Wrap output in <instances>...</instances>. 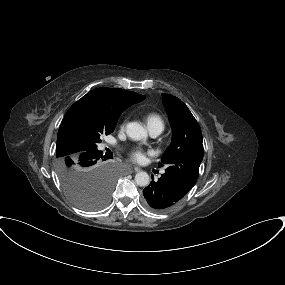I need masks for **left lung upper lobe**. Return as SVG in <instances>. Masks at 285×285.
<instances>
[{"instance_id": "5c2ea615", "label": "left lung upper lobe", "mask_w": 285, "mask_h": 285, "mask_svg": "<svg viewBox=\"0 0 285 285\" xmlns=\"http://www.w3.org/2000/svg\"><path fill=\"white\" fill-rule=\"evenodd\" d=\"M163 104L172 126V142L159 166L195 184L203 159L202 132L188 107L177 97L162 94Z\"/></svg>"}]
</instances>
